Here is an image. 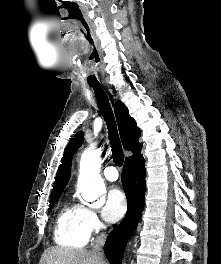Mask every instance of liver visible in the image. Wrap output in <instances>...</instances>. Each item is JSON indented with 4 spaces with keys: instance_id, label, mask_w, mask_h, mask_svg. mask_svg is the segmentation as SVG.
Returning <instances> with one entry per match:
<instances>
[{
    "instance_id": "6515ba94",
    "label": "liver",
    "mask_w": 221,
    "mask_h": 264,
    "mask_svg": "<svg viewBox=\"0 0 221 264\" xmlns=\"http://www.w3.org/2000/svg\"><path fill=\"white\" fill-rule=\"evenodd\" d=\"M39 264H107L104 258L98 257L93 251L65 247L46 249Z\"/></svg>"
}]
</instances>
